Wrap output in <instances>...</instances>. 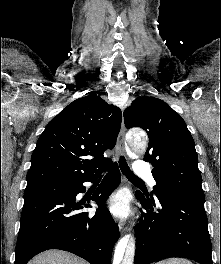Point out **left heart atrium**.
I'll use <instances>...</instances> for the list:
<instances>
[{"label": "left heart atrium", "mask_w": 221, "mask_h": 264, "mask_svg": "<svg viewBox=\"0 0 221 264\" xmlns=\"http://www.w3.org/2000/svg\"><path fill=\"white\" fill-rule=\"evenodd\" d=\"M110 212L118 218H126L130 212L127 195L120 191L113 194L108 200Z\"/></svg>", "instance_id": "left-heart-atrium-1"}]
</instances>
